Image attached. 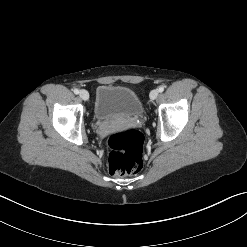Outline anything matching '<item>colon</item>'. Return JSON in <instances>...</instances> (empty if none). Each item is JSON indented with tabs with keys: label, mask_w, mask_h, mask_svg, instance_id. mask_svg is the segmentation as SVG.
Returning <instances> with one entry per match:
<instances>
[{
	"label": "colon",
	"mask_w": 247,
	"mask_h": 247,
	"mask_svg": "<svg viewBox=\"0 0 247 247\" xmlns=\"http://www.w3.org/2000/svg\"><path fill=\"white\" fill-rule=\"evenodd\" d=\"M144 137L135 129L111 133L107 138L109 148L108 170L111 175L124 177L138 173L143 166Z\"/></svg>",
	"instance_id": "obj_1"
}]
</instances>
